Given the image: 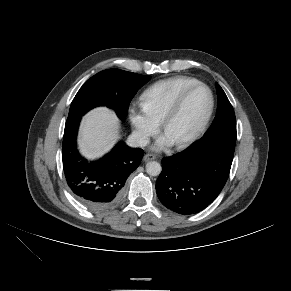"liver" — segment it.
<instances>
[{
  "label": "liver",
  "instance_id": "1",
  "mask_svg": "<svg viewBox=\"0 0 291 291\" xmlns=\"http://www.w3.org/2000/svg\"><path fill=\"white\" fill-rule=\"evenodd\" d=\"M119 120L106 107H98L88 112L82 119L79 130L81 153L94 159L108 152L119 137Z\"/></svg>",
  "mask_w": 291,
  "mask_h": 291
}]
</instances>
